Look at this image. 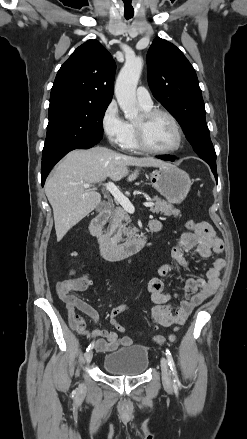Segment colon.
I'll list each match as a JSON object with an SVG mask.
<instances>
[{"label":"colon","mask_w":247,"mask_h":439,"mask_svg":"<svg viewBox=\"0 0 247 439\" xmlns=\"http://www.w3.org/2000/svg\"><path fill=\"white\" fill-rule=\"evenodd\" d=\"M198 226V223H195L193 221H188L186 223V228L189 230H195ZM88 285V279L86 277H80L74 280L73 283V289L74 290H82L86 288Z\"/></svg>","instance_id":"1"}]
</instances>
